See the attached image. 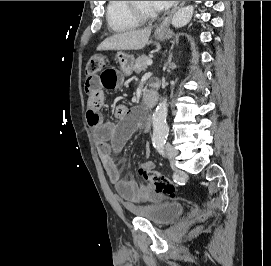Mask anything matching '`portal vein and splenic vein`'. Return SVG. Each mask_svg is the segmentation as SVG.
I'll list each match as a JSON object with an SVG mask.
<instances>
[{
	"label": "portal vein and splenic vein",
	"instance_id": "obj_1",
	"mask_svg": "<svg viewBox=\"0 0 271 266\" xmlns=\"http://www.w3.org/2000/svg\"><path fill=\"white\" fill-rule=\"evenodd\" d=\"M152 64H153V61H152V60L146 61V65H147V66H151Z\"/></svg>",
	"mask_w": 271,
	"mask_h": 266
}]
</instances>
